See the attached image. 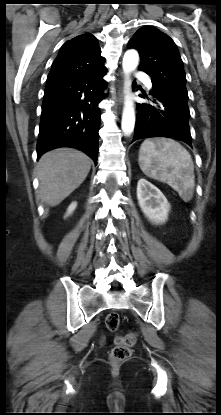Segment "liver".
Here are the masks:
<instances>
[{
  "instance_id": "liver-1",
  "label": "liver",
  "mask_w": 221,
  "mask_h": 415,
  "mask_svg": "<svg viewBox=\"0 0 221 415\" xmlns=\"http://www.w3.org/2000/svg\"><path fill=\"white\" fill-rule=\"evenodd\" d=\"M91 159L72 148H58L45 153L37 164L41 200L57 206L86 179Z\"/></svg>"
}]
</instances>
